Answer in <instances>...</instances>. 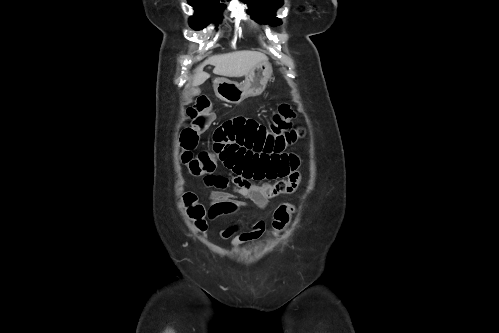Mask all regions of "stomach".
Wrapping results in <instances>:
<instances>
[{"label": "stomach", "mask_w": 499, "mask_h": 333, "mask_svg": "<svg viewBox=\"0 0 499 333\" xmlns=\"http://www.w3.org/2000/svg\"><path fill=\"white\" fill-rule=\"evenodd\" d=\"M272 75V67L267 61L253 67L242 83L219 78L214 82L216 96L231 104H239L248 97L260 95Z\"/></svg>", "instance_id": "obj_1"}]
</instances>
